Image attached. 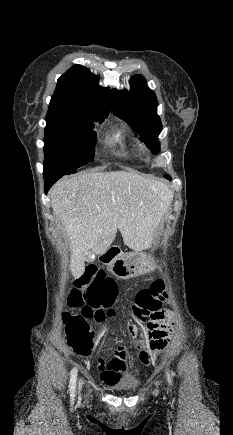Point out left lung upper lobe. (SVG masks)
I'll return each mask as SVG.
<instances>
[{
	"label": "left lung upper lobe",
	"mask_w": 233,
	"mask_h": 435,
	"mask_svg": "<svg viewBox=\"0 0 233 435\" xmlns=\"http://www.w3.org/2000/svg\"><path fill=\"white\" fill-rule=\"evenodd\" d=\"M110 109L114 114L124 117L133 129L142 135L146 146L157 154L160 151L158 135L162 131L160 117L157 115V98L146 87V80L141 75L130 79V90L110 91Z\"/></svg>",
	"instance_id": "obj_1"
}]
</instances>
